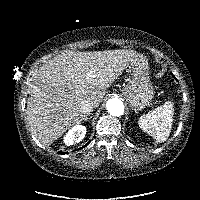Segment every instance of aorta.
<instances>
[{
  "instance_id": "1",
  "label": "aorta",
  "mask_w": 200,
  "mask_h": 200,
  "mask_svg": "<svg viewBox=\"0 0 200 200\" xmlns=\"http://www.w3.org/2000/svg\"><path fill=\"white\" fill-rule=\"evenodd\" d=\"M107 111L113 116H121L124 113L123 102L118 98H112L107 101Z\"/></svg>"
}]
</instances>
